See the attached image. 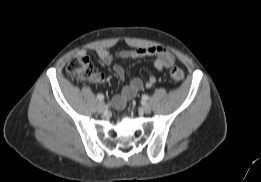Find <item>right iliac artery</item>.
Wrapping results in <instances>:
<instances>
[{"label": "right iliac artery", "instance_id": "right-iliac-artery-1", "mask_svg": "<svg viewBox=\"0 0 261 182\" xmlns=\"http://www.w3.org/2000/svg\"><path fill=\"white\" fill-rule=\"evenodd\" d=\"M104 95L103 94H98L97 95V99L100 100V101H103L104 100Z\"/></svg>", "mask_w": 261, "mask_h": 182}]
</instances>
